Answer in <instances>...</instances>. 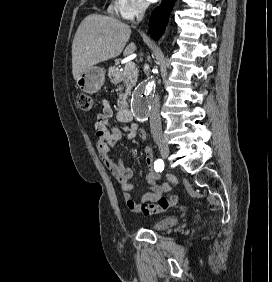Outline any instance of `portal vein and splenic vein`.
<instances>
[{"label": "portal vein and splenic vein", "instance_id": "1", "mask_svg": "<svg viewBox=\"0 0 272 282\" xmlns=\"http://www.w3.org/2000/svg\"><path fill=\"white\" fill-rule=\"evenodd\" d=\"M135 63L134 62H128L126 65H125V69L126 70H135Z\"/></svg>", "mask_w": 272, "mask_h": 282}]
</instances>
